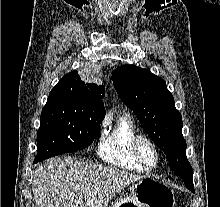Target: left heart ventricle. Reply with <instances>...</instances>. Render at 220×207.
I'll return each mask as SVG.
<instances>
[{"label": "left heart ventricle", "mask_w": 220, "mask_h": 207, "mask_svg": "<svg viewBox=\"0 0 220 207\" xmlns=\"http://www.w3.org/2000/svg\"><path fill=\"white\" fill-rule=\"evenodd\" d=\"M141 152H142L143 158L148 164H152L155 161L154 153L147 144H142Z\"/></svg>", "instance_id": "left-heart-ventricle-1"}]
</instances>
